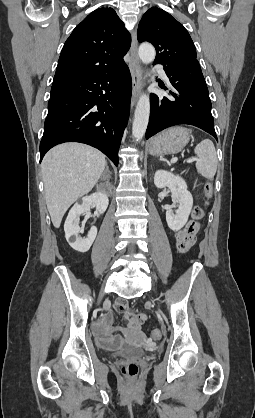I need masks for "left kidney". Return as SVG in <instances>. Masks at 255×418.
Instances as JSON below:
<instances>
[{"label":"left kidney","instance_id":"left-kidney-1","mask_svg":"<svg viewBox=\"0 0 255 418\" xmlns=\"http://www.w3.org/2000/svg\"><path fill=\"white\" fill-rule=\"evenodd\" d=\"M154 184L157 188L168 187L171 190L172 207L177 206L178 209L174 213L172 208H169L166 211V221L171 230H180L186 224L193 206V197L185 180L171 172L158 170L154 175Z\"/></svg>","mask_w":255,"mask_h":418}]
</instances>
